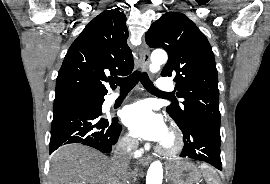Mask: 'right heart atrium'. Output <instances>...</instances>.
Wrapping results in <instances>:
<instances>
[{"mask_svg":"<svg viewBox=\"0 0 270 184\" xmlns=\"http://www.w3.org/2000/svg\"><path fill=\"white\" fill-rule=\"evenodd\" d=\"M122 144L124 147H126L127 149H132L134 148L135 146V141L129 137V136H125L123 139H122Z\"/></svg>","mask_w":270,"mask_h":184,"instance_id":"right-heart-atrium-1","label":"right heart atrium"}]
</instances>
